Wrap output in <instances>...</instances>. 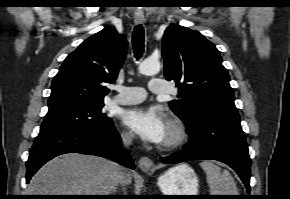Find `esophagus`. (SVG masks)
Returning <instances> with one entry per match:
<instances>
[{
  "label": "esophagus",
  "instance_id": "obj_1",
  "mask_svg": "<svg viewBox=\"0 0 290 199\" xmlns=\"http://www.w3.org/2000/svg\"><path fill=\"white\" fill-rule=\"evenodd\" d=\"M134 21L136 24H141L144 21V15L136 13L134 15ZM138 166L141 170L148 172L151 171L154 167L152 160L149 157L143 156L138 161Z\"/></svg>",
  "mask_w": 290,
  "mask_h": 199
}]
</instances>
